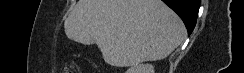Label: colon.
I'll use <instances>...</instances> for the list:
<instances>
[{"label":"colon","mask_w":244,"mask_h":73,"mask_svg":"<svg viewBox=\"0 0 244 73\" xmlns=\"http://www.w3.org/2000/svg\"><path fill=\"white\" fill-rule=\"evenodd\" d=\"M67 72H68V73H71V72H72V65H68V66H67Z\"/></svg>","instance_id":"1"}]
</instances>
